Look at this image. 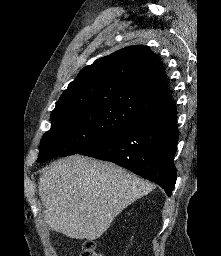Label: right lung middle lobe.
<instances>
[{
	"label": "right lung middle lobe",
	"instance_id": "obj_1",
	"mask_svg": "<svg viewBox=\"0 0 221 256\" xmlns=\"http://www.w3.org/2000/svg\"><path fill=\"white\" fill-rule=\"evenodd\" d=\"M142 119L119 106L104 104L51 113V129L39 147L38 162L79 153L107 135Z\"/></svg>",
	"mask_w": 221,
	"mask_h": 256
}]
</instances>
